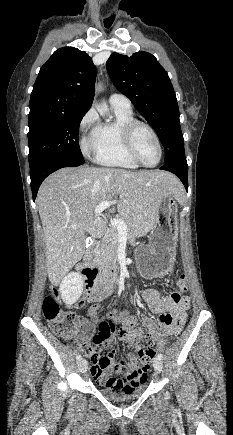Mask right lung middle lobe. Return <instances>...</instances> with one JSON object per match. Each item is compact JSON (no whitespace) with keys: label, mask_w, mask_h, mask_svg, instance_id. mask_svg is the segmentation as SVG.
<instances>
[{"label":"right lung middle lobe","mask_w":233,"mask_h":435,"mask_svg":"<svg viewBox=\"0 0 233 435\" xmlns=\"http://www.w3.org/2000/svg\"><path fill=\"white\" fill-rule=\"evenodd\" d=\"M85 114H40L29 117V164L60 157L83 164L78 131Z\"/></svg>","instance_id":"right-lung-middle-lobe-1"}]
</instances>
